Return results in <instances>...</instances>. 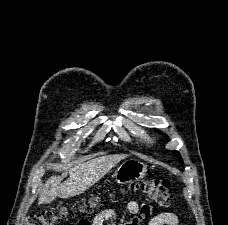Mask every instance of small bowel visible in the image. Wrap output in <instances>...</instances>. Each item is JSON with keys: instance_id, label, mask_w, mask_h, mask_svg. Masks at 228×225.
Listing matches in <instances>:
<instances>
[{"instance_id": "c3829d8e", "label": "small bowel", "mask_w": 228, "mask_h": 225, "mask_svg": "<svg viewBox=\"0 0 228 225\" xmlns=\"http://www.w3.org/2000/svg\"><path fill=\"white\" fill-rule=\"evenodd\" d=\"M151 204H139L130 200L126 204V211L129 214L135 215L140 212V218L149 217ZM114 212L111 209H106L101 213L97 214L89 225H116L113 221ZM139 222L138 218H134L133 222H122V225H137ZM179 217L173 212H161L149 218L147 225H179Z\"/></svg>"}]
</instances>
